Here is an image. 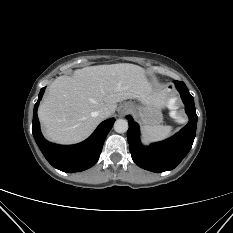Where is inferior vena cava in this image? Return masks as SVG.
Segmentation results:
<instances>
[{
	"label": "inferior vena cava",
	"mask_w": 233,
	"mask_h": 233,
	"mask_svg": "<svg viewBox=\"0 0 233 233\" xmlns=\"http://www.w3.org/2000/svg\"><path fill=\"white\" fill-rule=\"evenodd\" d=\"M111 115V112L107 108H103L98 111V116L102 119L108 118Z\"/></svg>",
	"instance_id": "1"
}]
</instances>
